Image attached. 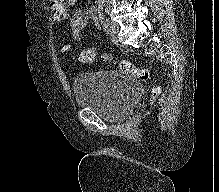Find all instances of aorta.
<instances>
[{
  "mask_svg": "<svg viewBox=\"0 0 219 192\" xmlns=\"http://www.w3.org/2000/svg\"><path fill=\"white\" fill-rule=\"evenodd\" d=\"M98 4H103L105 3L107 0H96Z\"/></svg>",
  "mask_w": 219,
  "mask_h": 192,
  "instance_id": "obj_1",
  "label": "aorta"
}]
</instances>
